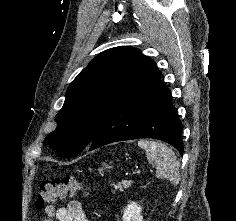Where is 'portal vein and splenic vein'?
Wrapping results in <instances>:
<instances>
[{
  "instance_id": "portal-vein-and-splenic-vein-1",
  "label": "portal vein and splenic vein",
  "mask_w": 236,
  "mask_h": 221,
  "mask_svg": "<svg viewBox=\"0 0 236 221\" xmlns=\"http://www.w3.org/2000/svg\"><path fill=\"white\" fill-rule=\"evenodd\" d=\"M136 173H137V174L141 173V170L138 169V170L136 171ZM122 183H123V186H124V187L129 184V182H128L127 180H124Z\"/></svg>"
}]
</instances>
